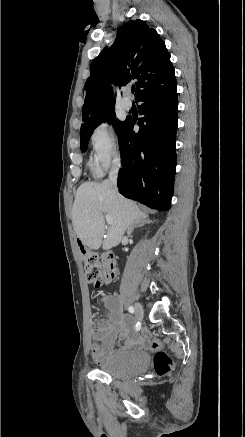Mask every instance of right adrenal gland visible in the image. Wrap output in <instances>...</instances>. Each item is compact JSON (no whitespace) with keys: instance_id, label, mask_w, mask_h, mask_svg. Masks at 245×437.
<instances>
[{"instance_id":"obj_1","label":"right adrenal gland","mask_w":245,"mask_h":437,"mask_svg":"<svg viewBox=\"0 0 245 437\" xmlns=\"http://www.w3.org/2000/svg\"><path fill=\"white\" fill-rule=\"evenodd\" d=\"M146 223H150V221H149V220H143V221H139V222H136V223L132 224V225L128 228L127 234H130L134 228H136V227H141V226H143V225L146 224Z\"/></svg>"}]
</instances>
